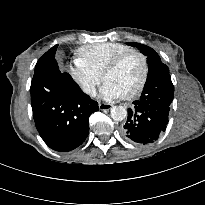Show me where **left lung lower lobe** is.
Listing matches in <instances>:
<instances>
[{
  "mask_svg": "<svg viewBox=\"0 0 205 205\" xmlns=\"http://www.w3.org/2000/svg\"><path fill=\"white\" fill-rule=\"evenodd\" d=\"M128 109V118L121 129L123 137L132 143L148 145L155 142L168 124L169 105L137 100Z\"/></svg>",
  "mask_w": 205,
  "mask_h": 205,
  "instance_id": "0a47b994",
  "label": "left lung lower lobe"
}]
</instances>
